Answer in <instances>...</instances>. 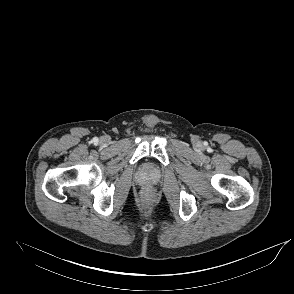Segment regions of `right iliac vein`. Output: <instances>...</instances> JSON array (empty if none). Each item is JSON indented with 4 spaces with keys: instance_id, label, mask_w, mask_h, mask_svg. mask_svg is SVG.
I'll list each match as a JSON object with an SVG mask.
<instances>
[{
    "instance_id": "1",
    "label": "right iliac vein",
    "mask_w": 294,
    "mask_h": 294,
    "mask_svg": "<svg viewBox=\"0 0 294 294\" xmlns=\"http://www.w3.org/2000/svg\"><path fill=\"white\" fill-rule=\"evenodd\" d=\"M109 142H110V139L106 136L101 137L99 140L100 145H102L104 147L107 146L109 144Z\"/></svg>"
}]
</instances>
